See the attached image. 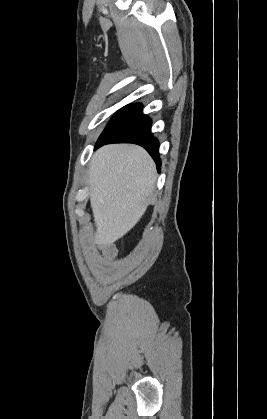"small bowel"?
Masks as SVG:
<instances>
[{
	"label": "small bowel",
	"mask_w": 267,
	"mask_h": 419,
	"mask_svg": "<svg viewBox=\"0 0 267 419\" xmlns=\"http://www.w3.org/2000/svg\"><path fill=\"white\" fill-rule=\"evenodd\" d=\"M101 250L108 261H113L117 257V250L112 244H104Z\"/></svg>",
	"instance_id": "small-bowel-1"
}]
</instances>
